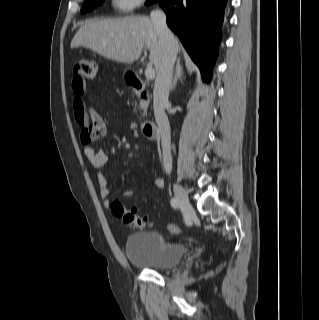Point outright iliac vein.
Wrapping results in <instances>:
<instances>
[{
	"mask_svg": "<svg viewBox=\"0 0 319 320\" xmlns=\"http://www.w3.org/2000/svg\"><path fill=\"white\" fill-rule=\"evenodd\" d=\"M173 191L179 203L181 204L182 208L187 212L191 211L192 206L190 204L189 197L186 190L181 185L174 183Z\"/></svg>",
	"mask_w": 319,
	"mask_h": 320,
	"instance_id": "1",
	"label": "right iliac vein"
}]
</instances>
